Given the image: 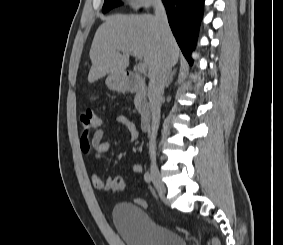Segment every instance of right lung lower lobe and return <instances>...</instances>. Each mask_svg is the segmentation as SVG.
I'll return each mask as SVG.
<instances>
[{"mask_svg":"<svg viewBox=\"0 0 283 245\" xmlns=\"http://www.w3.org/2000/svg\"><path fill=\"white\" fill-rule=\"evenodd\" d=\"M172 32L184 56L192 64L191 51L195 47L204 0H162Z\"/></svg>","mask_w":283,"mask_h":245,"instance_id":"right-lung-lower-lobe-1","label":"right lung lower lobe"}]
</instances>
